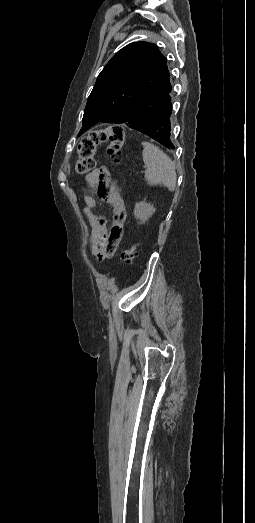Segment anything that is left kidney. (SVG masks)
Wrapping results in <instances>:
<instances>
[{
  "instance_id": "left-kidney-1",
  "label": "left kidney",
  "mask_w": 255,
  "mask_h": 523,
  "mask_svg": "<svg viewBox=\"0 0 255 523\" xmlns=\"http://www.w3.org/2000/svg\"><path fill=\"white\" fill-rule=\"evenodd\" d=\"M154 212L155 208H153L151 204H147V202H138V204H135L134 216L137 220H140V224L147 222Z\"/></svg>"
}]
</instances>
